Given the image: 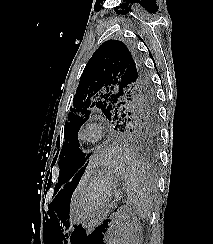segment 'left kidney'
Instances as JSON below:
<instances>
[{"label": "left kidney", "mask_w": 213, "mask_h": 244, "mask_svg": "<svg viewBox=\"0 0 213 244\" xmlns=\"http://www.w3.org/2000/svg\"><path fill=\"white\" fill-rule=\"evenodd\" d=\"M137 233L138 226L125 211L121 212L108 233L107 244H138Z\"/></svg>", "instance_id": "obj_1"}]
</instances>
